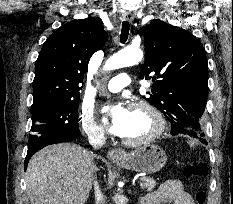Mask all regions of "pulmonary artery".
<instances>
[{
    "label": "pulmonary artery",
    "instance_id": "1",
    "mask_svg": "<svg viewBox=\"0 0 233 204\" xmlns=\"http://www.w3.org/2000/svg\"><path fill=\"white\" fill-rule=\"evenodd\" d=\"M132 82L131 78L125 74L121 73L113 77L108 83H107V90L110 92H118L122 90L124 87L128 86Z\"/></svg>",
    "mask_w": 233,
    "mask_h": 204
}]
</instances>
